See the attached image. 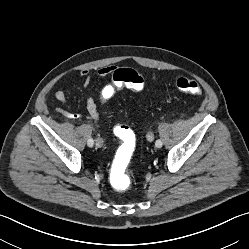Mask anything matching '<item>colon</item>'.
I'll return each mask as SVG.
<instances>
[{
    "instance_id": "1",
    "label": "colon",
    "mask_w": 249,
    "mask_h": 249,
    "mask_svg": "<svg viewBox=\"0 0 249 249\" xmlns=\"http://www.w3.org/2000/svg\"><path fill=\"white\" fill-rule=\"evenodd\" d=\"M112 84L114 88L125 86L136 92L144 88L143 78L135 70L129 68L116 69L112 75ZM176 87L183 93L193 95H199L201 93L199 83L192 79L179 78L176 81ZM114 133L122 141V145L116 154L111 186L116 191H124L128 186L127 170L135 152L136 137L132 129L125 124L117 125L114 129Z\"/></svg>"
}]
</instances>
